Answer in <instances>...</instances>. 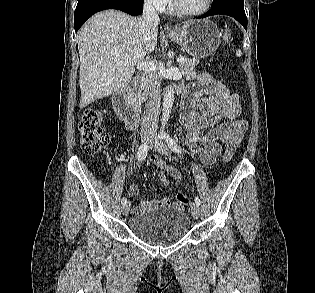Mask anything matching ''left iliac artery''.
<instances>
[{
  "label": "left iliac artery",
  "mask_w": 315,
  "mask_h": 293,
  "mask_svg": "<svg viewBox=\"0 0 315 293\" xmlns=\"http://www.w3.org/2000/svg\"><path fill=\"white\" fill-rule=\"evenodd\" d=\"M162 139H164L168 146L171 148V150L177 154H179L181 152L180 147L178 146V144L176 143V141L167 133H163L160 136ZM195 202L200 205L201 201L199 199L198 196L195 197Z\"/></svg>",
  "instance_id": "1"
}]
</instances>
